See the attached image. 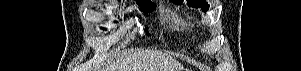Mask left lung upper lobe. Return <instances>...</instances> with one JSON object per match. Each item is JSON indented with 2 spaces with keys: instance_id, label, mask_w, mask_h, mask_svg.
I'll use <instances>...</instances> for the list:
<instances>
[{
  "instance_id": "5c2ea615",
  "label": "left lung upper lobe",
  "mask_w": 301,
  "mask_h": 71,
  "mask_svg": "<svg viewBox=\"0 0 301 71\" xmlns=\"http://www.w3.org/2000/svg\"><path fill=\"white\" fill-rule=\"evenodd\" d=\"M175 4H182L184 0H170ZM188 6L192 8H201L204 12L209 9V5L205 2V0H187Z\"/></svg>"
}]
</instances>
